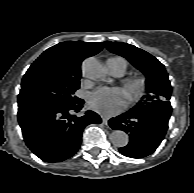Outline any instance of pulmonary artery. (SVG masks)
I'll return each mask as SVG.
<instances>
[{
    "mask_svg": "<svg viewBox=\"0 0 194 193\" xmlns=\"http://www.w3.org/2000/svg\"><path fill=\"white\" fill-rule=\"evenodd\" d=\"M126 62L121 57H112L106 61L109 72L115 76H122L125 72Z\"/></svg>",
    "mask_w": 194,
    "mask_h": 193,
    "instance_id": "obj_1",
    "label": "pulmonary artery"
}]
</instances>
